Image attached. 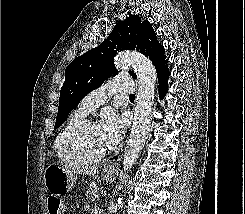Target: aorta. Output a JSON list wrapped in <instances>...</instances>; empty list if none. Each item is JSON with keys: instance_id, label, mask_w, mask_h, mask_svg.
Returning a JSON list of instances; mask_svg holds the SVG:
<instances>
[{"instance_id": "obj_1", "label": "aorta", "mask_w": 245, "mask_h": 214, "mask_svg": "<svg viewBox=\"0 0 245 214\" xmlns=\"http://www.w3.org/2000/svg\"><path fill=\"white\" fill-rule=\"evenodd\" d=\"M118 68L132 66L138 77L134 121L123 154V169L131 171L148 137L156 83L152 62L138 52H122L115 57Z\"/></svg>"}]
</instances>
